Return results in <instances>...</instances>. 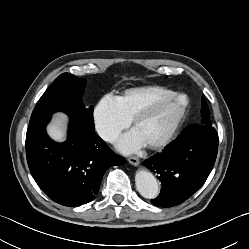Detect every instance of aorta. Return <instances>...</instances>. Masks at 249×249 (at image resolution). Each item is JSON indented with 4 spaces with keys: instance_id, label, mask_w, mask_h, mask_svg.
<instances>
[{
    "instance_id": "aorta-1",
    "label": "aorta",
    "mask_w": 249,
    "mask_h": 249,
    "mask_svg": "<svg viewBox=\"0 0 249 249\" xmlns=\"http://www.w3.org/2000/svg\"><path fill=\"white\" fill-rule=\"evenodd\" d=\"M136 189L145 198H155L159 194V186L153 174L147 170H138L135 175Z\"/></svg>"
}]
</instances>
